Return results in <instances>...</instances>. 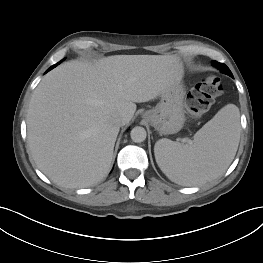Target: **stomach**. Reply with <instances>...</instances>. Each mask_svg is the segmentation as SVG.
<instances>
[{"label":"stomach","mask_w":263,"mask_h":263,"mask_svg":"<svg viewBox=\"0 0 263 263\" xmlns=\"http://www.w3.org/2000/svg\"><path fill=\"white\" fill-rule=\"evenodd\" d=\"M184 96L182 83H175L161 95V100L155 108L143 113V118L160 134L177 133L185 122Z\"/></svg>","instance_id":"1"}]
</instances>
